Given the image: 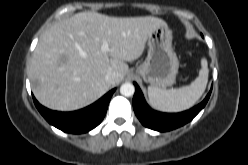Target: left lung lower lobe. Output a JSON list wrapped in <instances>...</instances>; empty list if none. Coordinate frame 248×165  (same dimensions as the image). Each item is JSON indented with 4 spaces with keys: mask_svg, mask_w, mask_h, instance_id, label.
Returning a JSON list of instances; mask_svg holds the SVG:
<instances>
[{
    "mask_svg": "<svg viewBox=\"0 0 248 165\" xmlns=\"http://www.w3.org/2000/svg\"><path fill=\"white\" fill-rule=\"evenodd\" d=\"M136 91L133 97V108L140 122L147 128L164 132L170 131L191 121L206 105L211 91L197 106L181 113H161L152 110L146 103L139 86L134 83ZM212 90V88H211Z\"/></svg>",
    "mask_w": 248,
    "mask_h": 165,
    "instance_id": "1",
    "label": "left lung lower lobe"
}]
</instances>
